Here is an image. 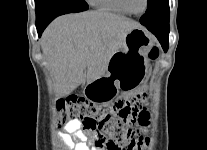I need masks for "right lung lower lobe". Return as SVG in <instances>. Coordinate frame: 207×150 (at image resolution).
I'll use <instances>...</instances> for the list:
<instances>
[{
	"label": "right lung lower lobe",
	"instance_id": "98d812e1",
	"mask_svg": "<svg viewBox=\"0 0 207 150\" xmlns=\"http://www.w3.org/2000/svg\"><path fill=\"white\" fill-rule=\"evenodd\" d=\"M57 16L59 15H50L44 18H41L39 20H36V28H37V32L38 35L41 36L42 32L44 31V29L48 26V24L55 19Z\"/></svg>",
	"mask_w": 207,
	"mask_h": 150
}]
</instances>
